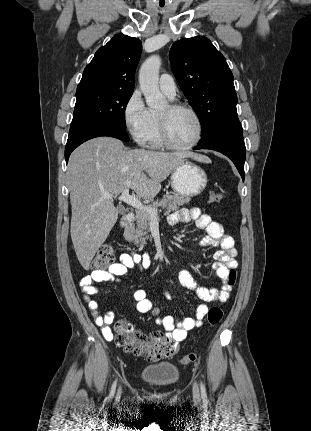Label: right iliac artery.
<instances>
[{"instance_id":"right-iliac-artery-1","label":"right iliac artery","mask_w":311,"mask_h":431,"mask_svg":"<svg viewBox=\"0 0 311 431\" xmlns=\"http://www.w3.org/2000/svg\"><path fill=\"white\" fill-rule=\"evenodd\" d=\"M116 380L114 381V383L112 384V387H111V391H110V395H109V397L110 398H112L113 397V395H114V393H115V389H116Z\"/></svg>"}]
</instances>
